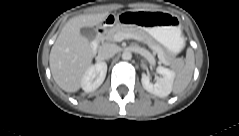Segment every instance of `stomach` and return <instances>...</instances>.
<instances>
[{
  "label": "stomach",
  "mask_w": 239,
  "mask_h": 136,
  "mask_svg": "<svg viewBox=\"0 0 239 136\" xmlns=\"http://www.w3.org/2000/svg\"><path fill=\"white\" fill-rule=\"evenodd\" d=\"M119 24L140 29L160 43L168 53L177 54L183 48L178 19L165 12H120Z\"/></svg>",
  "instance_id": "obj_1"
}]
</instances>
